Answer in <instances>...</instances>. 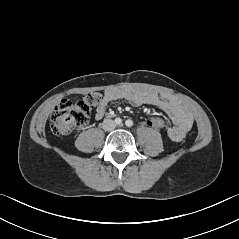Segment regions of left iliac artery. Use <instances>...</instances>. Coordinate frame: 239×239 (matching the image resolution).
I'll use <instances>...</instances> for the list:
<instances>
[{
	"mask_svg": "<svg viewBox=\"0 0 239 239\" xmlns=\"http://www.w3.org/2000/svg\"><path fill=\"white\" fill-rule=\"evenodd\" d=\"M125 124H126V126L131 127V126H133V121L130 120V119H128V120L125 122Z\"/></svg>",
	"mask_w": 239,
	"mask_h": 239,
	"instance_id": "44dca946",
	"label": "left iliac artery"
}]
</instances>
